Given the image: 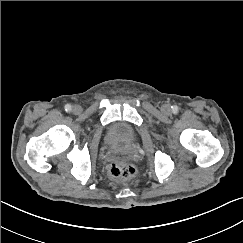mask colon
<instances>
[{
    "label": "colon",
    "instance_id": "obj_1",
    "mask_svg": "<svg viewBox=\"0 0 243 243\" xmlns=\"http://www.w3.org/2000/svg\"><path fill=\"white\" fill-rule=\"evenodd\" d=\"M109 175L116 180H129L135 176V168L128 162L115 161L109 166Z\"/></svg>",
    "mask_w": 243,
    "mask_h": 243
}]
</instances>
